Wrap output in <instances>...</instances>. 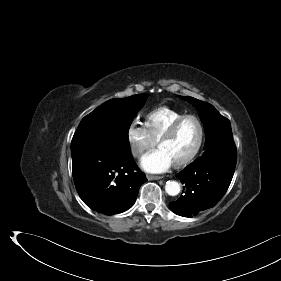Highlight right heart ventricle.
Masks as SVG:
<instances>
[{"label": "right heart ventricle", "instance_id": "obj_1", "mask_svg": "<svg viewBox=\"0 0 281 281\" xmlns=\"http://www.w3.org/2000/svg\"><path fill=\"white\" fill-rule=\"evenodd\" d=\"M182 115L180 111L161 106L145 115V127L153 140L158 142L171 123Z\"/></svg>", "mask_w": 281, "mask_h": 281}]
</instances>
